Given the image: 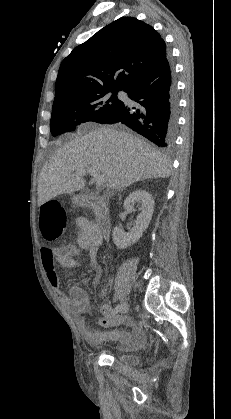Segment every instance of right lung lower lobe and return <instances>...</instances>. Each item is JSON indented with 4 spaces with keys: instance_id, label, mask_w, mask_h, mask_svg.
Segmentation results:
<instances>
[{
    "instance_id": "obj_1",
    "label": "right lung lower lobe",
    "mask_w": 231,
    "mask_h": 419,
    "mask_svg": "<svg viewBox=\"0 0 231 419\" xmlns=\"http://www.w3.org/2000/svg\"><path fill=\"white\" fill-rule=\"evenodd\" d=\"M124 91L136 105L122 102L102 123L122 122L159 147H171L177 129L178 95L168 59L134 80Z\"/></svg>"
}]
</instances>
